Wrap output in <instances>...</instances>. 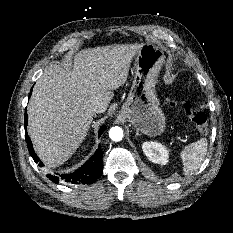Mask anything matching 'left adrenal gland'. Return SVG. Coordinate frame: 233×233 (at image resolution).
Here are the masks:
<instances>
[{
	"mask_svg": "<svg viewBox=\"0 0 233 233\" xmlns=\"http://www.w3.org/2000/svg\"><path fill=\"white\" fill-rule=\"evenodd\" d=\"M136 135L138 136V135H139V133L137 132V133H136Z\"/></svg>",
	"mask_w": 233,
	"mask_h": 233,
	"instance_id": "1",
	"label": "left adrenal gland"
}]
</instances>
